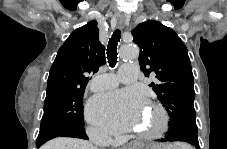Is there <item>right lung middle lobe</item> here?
<instances>
[{"mask_svg": "<svg viewBox=\"0 0 227 149\" xmlns=\"http://www.w3.org/2000/svg\"><path fill=\"white\" fill-rule=\"evenodd\" d=\"M84 89L59 88L47 91L40 129L83 127Z\"/></svg>", "mask_w": 227, "mask_h": 149, "instance_id": "dd1d6c3e", "label": "right lung middle lobe"}]
</instances>
